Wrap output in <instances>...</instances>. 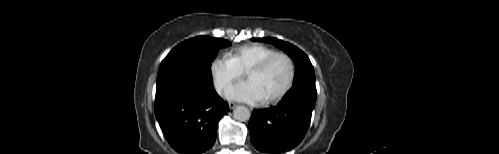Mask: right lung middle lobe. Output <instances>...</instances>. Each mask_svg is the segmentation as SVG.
Masks as SVG:
<instances>
[{
  "mask_svg": "<svg viewBox=\"0 0 499 154\" xmlns=\"http://www.w3.org/2000/svg\"><path fill=\"white\" fill-rule=\"evenodd\" d=\"M230 45L227 40L208 36H198L178 44L159 67L156 89L176 83L213 86L211 62L220 49Z\"/></svg>",
  "mask_w": 499,
  "mask_h": 154,
  "instance_id": "dd1d6c3e",
  "label": "right lung middle lobe"
}]
</instances>
